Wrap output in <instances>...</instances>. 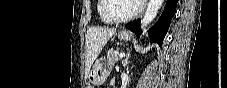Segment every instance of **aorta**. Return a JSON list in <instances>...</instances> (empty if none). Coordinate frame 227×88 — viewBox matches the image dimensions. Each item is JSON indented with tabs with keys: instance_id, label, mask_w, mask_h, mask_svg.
<instances>
[{
	"instance_id": "1",
	"label": "aorta",
	"mask_w": 227,
	"mask_h": 88,
	"mask_svg": "<svg viewBox=\"0 0 227 88\" xmlns=\"http://www.w3.org/2000/svg\"><path fill=\"white\" fill-rule=\"evenodd\" d=\"M163 0H149L145 15L141 21V28L145 29L157 16Z\"/></svg>"
}]
</instances>
